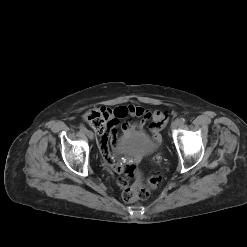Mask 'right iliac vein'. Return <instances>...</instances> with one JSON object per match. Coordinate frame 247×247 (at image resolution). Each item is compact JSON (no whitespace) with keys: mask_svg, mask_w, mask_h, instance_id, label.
Masks as SVG:
<instances>
[{"mask_svg":"<svg viewBox=\"0 0 247 247\" xmlns=\"http://www.w3.org/2000/svg\"><path fill=\"white\" fill-rule=\"evenodd\" d=\"M86 135L88 136L89 139L93 140L94 139V133L90 130L86 131Z\"/></svg>","mask_w":247,"mask_h":247,"instance_id":"right-iliac-vein-1","label":"right iliac vein"}]
</instances>
